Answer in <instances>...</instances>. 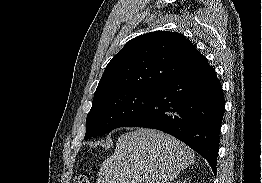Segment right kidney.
Here are the masks:
<instances>
[{
    "label": "right kidney",
    "instance_id": "right-kidney-1",
    "mask_svg": "<svg viewBox=\"0 0 262 183\" xmlns=\"http://www.w3.org/2000/svg\"><path fill=\"white\" fill-rule=\"evenodd\" d=\"M176 183H186V180H184V181H177Z\"/></svg>",
    "mask_w": 262,
    "mask_h": 183
}]
</instances>
